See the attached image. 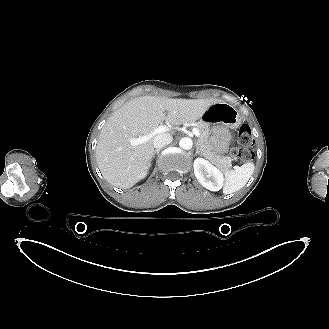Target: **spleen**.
<instances>
[{
    "instance_id": "obj_1",
    "label": "spleen",
    "mask_w": 329,
    "mask_h": 329,
    "mask_svg": "<svg viewBox=\"0 0 329 329\" xmlns=\"http://www.w3.org/2000/svg\"><path fill=\"white\" fill-rule=\"evenodd\" d=\"M254 168L253 163H245L235 170L227 171L223 193L227 195L243 188L253 174Z\"/></svg>"
}]
</instances>
